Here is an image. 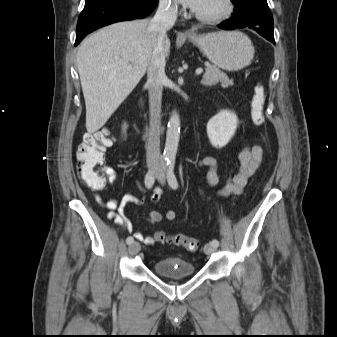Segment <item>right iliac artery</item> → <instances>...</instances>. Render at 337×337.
Here are the masks:
<instances>
[{"label":"right iliac artery","instance_id":"obj_1","mask_svg":"<svg viewBox=\"0 0 337 337\" xmlns=\"http://www.w3.org/2000/svg\"><path fill=\"white\" fill-rule=\"evenodd\" d=\"M163 159L167 160L168 158L164 156ZM154 181H155V171L154 170H149L147 172L146 176H145V186L150 189L153 186ZM133 242H134V239H133L132 236L127 237L126 243L128 245H130Z\"/></svg>","mask_w":337,"mask_h":337}]
</instances>
